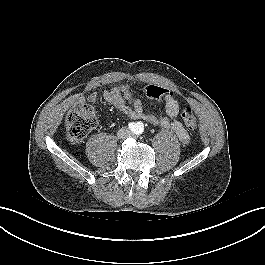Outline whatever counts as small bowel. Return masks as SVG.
I'll list each match as a JSON object with an SVG mask.
<instances>
[{
	"label": "small bowel",
	"instance_id": "1",
	"mask_svg": "<svg viewBox=\"0 0 265 265\" xmlns=\"http://www.w3.org/2000/svg\"><path fill=\"white\" fill-rule=\"evenodd\" d=\"M166 90L167 92L162 98L165 103L166 115H155L146 112L143 108V103L132 96L127 85H119L110 90H105L103 98L129 118L145 121L162 128H171L181 142L188 143L190 139L189 133L178 119L179 103L174 93L168 89ZM97 99L98 95L93 92L86 98L83 96L77 97L76 102L80 104L85 101L95 103Z\"/></svg>",
	"mask_w": 265,
	"mask_h": 265
}]
</instances>
